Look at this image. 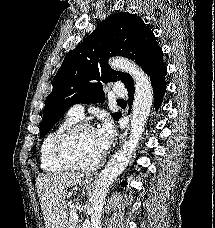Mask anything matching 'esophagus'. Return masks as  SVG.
<instances>
[{"label":"esophagus","mask_w":215,"mask_h":228,"mask_svg":"<svg viewBox=\"0 0 215 228\" xmlns=\"http://www.w3.org/2000/svg\"><path fill=\"white\" fill-rule=\"evenodd\" d=\"M128 130H129V126L127 127V129L125 130V132L121 135V142L126 138L127 136V133H128Z\"/></svg>","instance_id":"obj_1"}]
</instances>
